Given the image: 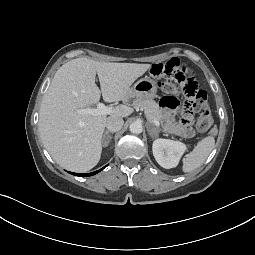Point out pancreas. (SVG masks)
I'll use <instances>...</instances> for the list:
<instances>
[{
  "mask_svg": "<svg viewBox=\"0 0 255 255\" xmlns=\"http://www.w3.org/2000/svg\"><path fill=\"white\" fill-rule=\"evenodd\" d=\"M135 108L144 109L146 118L153 122L154 120L161 121L162 113L158 104L153 100H135L133 102Z\"/></svg>",
  "mask_w": 255,
  "mask_h": 255,
  "instance_id": "1",
  "label": "pancreas"
}]
</instances>
